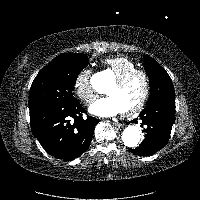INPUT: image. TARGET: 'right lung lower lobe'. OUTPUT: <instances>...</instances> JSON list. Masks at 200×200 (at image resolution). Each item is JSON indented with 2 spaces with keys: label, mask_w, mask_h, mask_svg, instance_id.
I'll use <instances>...</instances> for the list:
<instances>
[{
  "label": "right lung lower lobe",
  "mask_w": 200,
  "mask_h": 200,
  "mask_svg": "<svg viewBox=\"0 0 200 200\" xmlns=\"http://www.w3.org/2000/svg\"><path fill=\"white\" fill-rule=\"evenodd\" d=\"M34 136L48 154L65 161L81 156L89 147L95 125L94 117L83 119L85 109L72 104H42L29 107Z\"/></svg>",
  "instance_id": "obj_1"
}]
</instances>
